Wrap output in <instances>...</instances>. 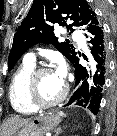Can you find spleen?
Segmentation results:
<instances>
[{"label": "spleen", "mask_w": 117, "mask_h": 136, "mask_svg": "<svg viewBox=\"0 0 117 136\" xmlns=\"http://www.w3.org/2000/svg\"><path fill=\"white\" fill-rule=\"evenodd\" d=\"M59 115L64 116L65 114L61 111V112L59 113Z\"/></svg>", "instance_id": "1"}]
</instances>
